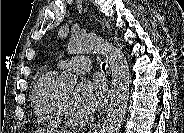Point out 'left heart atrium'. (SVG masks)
Instances as JSON below:
<instances>
[{
    "label": "left heart atrium",
    "instance_id": "left-heart-atrium-1",
    "mask_svg": "<svg viewBox=\"0 0 184 133\" xmlns=\"http://www.w3.org/2000/svg\"><path fill=\"white\" fill-rule=\"evenodd\" d=\"M106 98V86L101 80L85 79L75 89L73 105L83 113L92 114L102 107Z\"/></svg>",
    "mask_w": 184,
    "mask_h": 133
}]
</instances>
